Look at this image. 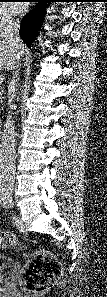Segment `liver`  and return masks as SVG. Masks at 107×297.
Listing matches in <instances>:
<instances>
[{
	"label": "liver",
	"instance_id": "1",
	"mask_svg": "<svg viewBox=\"0 0 107 297\" xmlns=\"http://www.w3.org/2000/svg\"><path fill=\"white\" fill-rule=\"evenodd\" d=\"M25 53V45H13L0 35V68L7 71L15 69Z\"/></svg>",
	"mask_w": 107,
	"mask_h": 297
}]
</instances>
